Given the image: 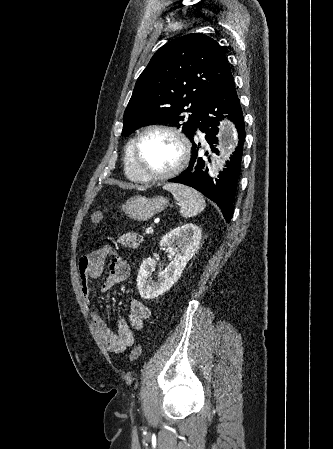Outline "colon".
Returning a JSON list of instances; mask_svg holds the SVG:
<instances>
[{
	"mask_svg": "<svg viewBox=\"0 0 333 449\" xmlns=\"http://www.w3.org/2000/svg\"><path fill=\"white\" fill-rule=\"evenodd\" d=\"M103 217H104V214L102 211H95L91 215V221H92V223L97 224L103 219ZM141 352H142L141 345L135 346L129 354L130 361L135 362L136 360H138V358L141 355Z\"/></svg>",
	"mask_w": 333,
	"mask_h": 449,
	"instance_id": "1",
	"label": "colon"
}]
</instances>
